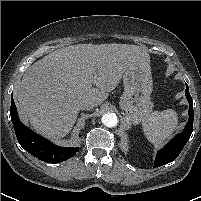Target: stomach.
Here are the masks:
<instances>
[{"mask_svg":"<svg viewBox=\"0 0 201 201\" xmlns=\"http://www.w3.org/2000/svg\"><path fill=\"white\" fill-rule=\"evenodd\" d=\"M124 94L119 105L125 111L126 119L133 124L144 120L153 109L151 93L153 81L150 61L139 60L123 75Z\"/></svg>","mask_w":201,"mask_h":201,"instance_id":"obj_1","label":"stomach"}]
</instances>
